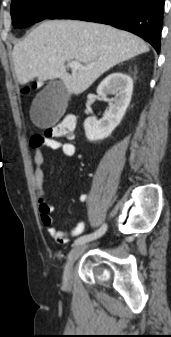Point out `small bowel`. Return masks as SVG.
I'll return each instance as SVG.
<instances>
[{
    "label": "small bowel",
    "instance_id": "1",
    "mask_svg": "<svg viewBox=\"0 0 171 337\" xmlns=\"http://www.w3.org/2000/svg\"><path fill=\"white\" fill-rule=\"evenodd\" d=\"M32 148L34 150V185L37 196L38 209L40 212V218L42 224L45 226L47 232L51 237L55 239L59 244H66L71 237L79 235L84 228L82 222L76 224V226L69 232H61L55 225L52 212L54 210L53 204L48 199L47 190L44 185V171L43 164L45 157L43 154V148H49L51 150H60L67 157H74L77 154V148L74 143L69 141H59L55 138H49L43 135H36L31 141ZM89 197L87 194H81L79 201L81 203H87Z\"/></svg>",
    "mask_w": 171,
    "mask_h": 337
}]
</instances>
